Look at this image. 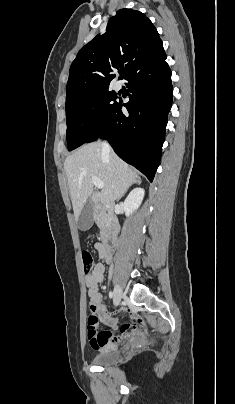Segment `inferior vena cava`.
I'll return each mask as SVG.
<instances>
[{
    "label": "inferior vena cava",
    "instance_id": "obj_1",
    "mask_svg": "<svg viewBox=\"0 0 235 404\" xmlns=\"http://www.w3.org/2000/svg\"><path fill=\"white\" fill-rule=\"evenodd\" d=\"M103 151L104 152H109L110 151V145L107 142L103 143Z\"/></svg>",
    "mask_w": 235,
    "mask_h": 404
}]
</instances>
